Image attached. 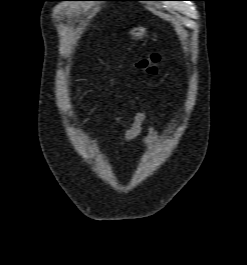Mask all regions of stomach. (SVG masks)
<instances>
[{"label":"stomach","instance_id":"stomach-1","mask_svg":"<svg viewBox=\"0 0 247 265\" xmlns=\"http://www.w3.org/2000/svg\"><path fill=\"white\" fill-rule=\"evenodd\" d=\"M128 34L133 39H142L146 35V28L138 26L129 30Z\"/></svg>","mask_w":247,"mask_h":265}]
</instances>
